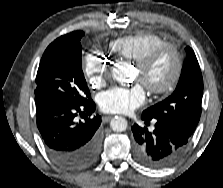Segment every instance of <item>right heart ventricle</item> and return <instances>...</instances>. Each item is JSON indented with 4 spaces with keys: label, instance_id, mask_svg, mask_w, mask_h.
I'll return each mask as SVG.
<instances>
[{
    "label": "right heart ventricle",
    "instance_id": "1",
    "mask_svg": "<svg viewBox=\"0 0 223 188\" xmlns=\"http://www.w3.org/2000/svg\"><path fill=\"white\" fill-rule=\"evenodd\" d=\"M163 42L164 39L156 33L139 32L112 40L109 49L123 58L137 61Z\"/></svg>",
    "mask_w": 223,
    "mask_h": 188
}]
</instances>
